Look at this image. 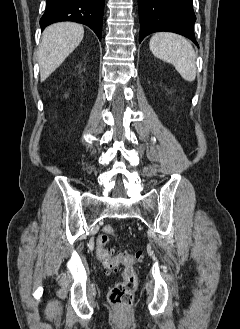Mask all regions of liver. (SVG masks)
Segmentation results:
<instances>
[{"instance_id": "liver-1", "label": "liver", "mask_w": 240, "mask_h": 329, "mask_svg": "<svg viewBox=\"0 0 240 329\" xmlns=\"http://www.w3.org/2000/svg\"><path fill=\"white\" fill-rule=\"evenodd\" d=\"M83 37V26L71 22L56 23L43 31L38 49L41 82L64 62Z\"/></svg>"}]
</instances>
